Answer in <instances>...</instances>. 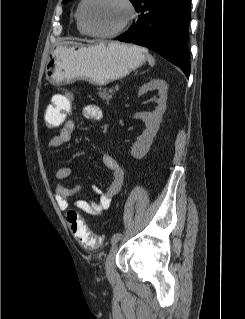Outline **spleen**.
I'll use <instances>...</instances> for the list:
<instances>
[{"mask_svg":"<svg viewBox=\"0 0 245 319\" xmlns=\"http://www.w3.org/2000/svg\"><path fill=\"white\" fill-rule=\"evenodd\" d=\"M147 59H148L149 65L153 67L155 65V59L149 54L147 55Z\"/></svg>","mask_w":245,"mask_h":319,"instance_id":"spleen-1","label":"spleen"}]
</instances>
